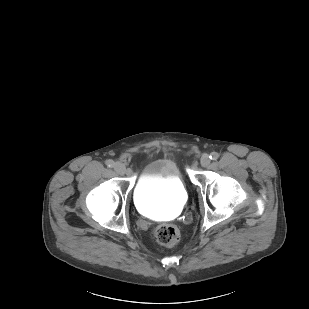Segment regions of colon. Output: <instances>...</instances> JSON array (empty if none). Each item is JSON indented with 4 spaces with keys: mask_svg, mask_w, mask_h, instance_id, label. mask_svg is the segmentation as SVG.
<instances>
[{
    "mask_svg": "<svg viewBox=\"0 0 309 309\" xmlns=\"http://www.w3.org/2000/svg\"><path fill=\"white\" fill-rule=\"evenodd\" d=\"M156 241L164 246H174L180 240V231L173 224H161L154 233Z\"/></svg>",
    "mask_w": 309,
    "mask_h": 309,
    "instance_id": "1",
    "label": "colon"
}]
</instances>
